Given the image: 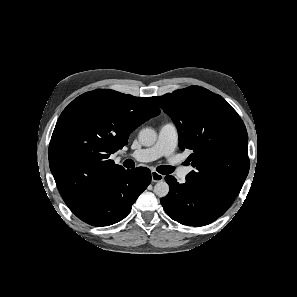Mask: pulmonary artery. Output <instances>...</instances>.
Instances as JSON below:
<instances>
[{
  "label": "pulmonary artery",
  "instance_id": "obj_1",
  "mask_svg": "<svg viewBox=\"0 0 297 297\" xmlns=\"http://www.w3.org/2000/svg\"><path fill=\"white\" fill-rule=\"evenodd\" d=\"M178 129L172 122L165 123L161 126L156 143L148 148L133 151L131 157L138 161L150 162L160 157L170 156L178 144ZM190 172L189 168H181L177 175L184 182Z\"/></svg>",
  "mask_w": 297,
  "mask_h": 297
}]
</instances>
